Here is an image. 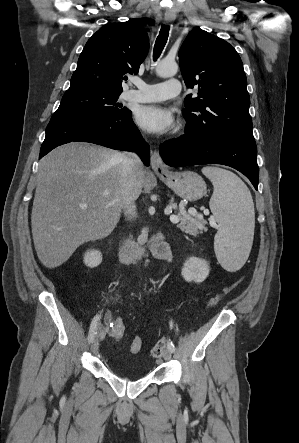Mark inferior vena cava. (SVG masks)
I'll return each instance as SVG.
<instances>
[{
    "instance_id": "inferior-vena-cava-1",
    "label": "inferior vena cava",
    "mask_w": 299,
    "mask_h": 443,
    "mask_svg": "<svg viewBox=\"0 0 299 443\" xmlns=\"http://www.w3.org/2000/svg\"><path fill=\"white\" fill-rule=\"evenodd\" d=\"M122 160V190L120 202L127 220L134 218L136 206L133 200V188L136 180L137 171L142 168V163L134 153L121 154Z\"/></svg>"
}]
</instances>
